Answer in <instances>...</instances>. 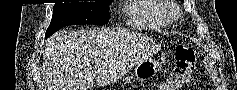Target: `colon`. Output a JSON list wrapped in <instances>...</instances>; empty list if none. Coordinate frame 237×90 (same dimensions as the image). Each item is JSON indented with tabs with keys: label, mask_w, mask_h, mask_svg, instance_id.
<instances>
[{
	"label": "colon",
	"mask_w": 237,
	"mask_h": 90,
	"mask_svg": "<svg viewBox=\"0 0 237 90\" xmlns=\"http://www.w3.org/2000/svg\"><path fill=\"white\" fill-rule=\"evenodd\" d=\"M175 67L161 85V90H182L191 80L195 51L190 45L179 44L174 52Z\"/></svg>",
	"instance_id": "obj_1"
}]
</instances>
